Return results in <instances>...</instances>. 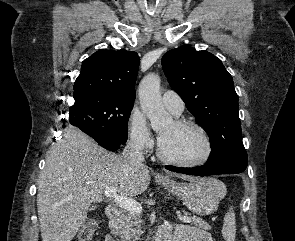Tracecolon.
<instances>
[{"instance_id":"1","label":"colon","mask_w":295,"mask_h":241,"mask_svg":"<svg viewBox=\"0 0 295 241\" xmlns=\"http://www.w3.org/2000/svg\"><path fill=\"white\" fill-rule=\"evenodd\" d=\"M96 230V222L88 220L81 227L79 232L80 241H91Z\"/></svg>"}]
</instances>
